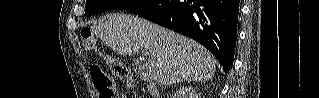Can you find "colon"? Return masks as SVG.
Wrapping results in <instances>:
<instances>
[{"label":"colon","mask_w":319,"mask_h":98,"mask_svg":"<svg viewBox=\"0 0 319 98\" xmlns=\"http://www.w3.org/2000/svg\"><path fill=\"white\" fill-rule=\"evenodd\" d=\"M82 44L85 49L91 51H98L97 41L90 29H83L81 31ZM101 57H106L103 53L99 52ZM113 73L122 79L126 84L132 86L134 79L128 72V70L120 63L115 61H109ZM92 81L96 88L100 98H134L133 93H126L119 96L116 92L113 78L101 71L98 67L91 69Z\"/></svg>","instance_id":"5ec220e1"}]
</instances>
